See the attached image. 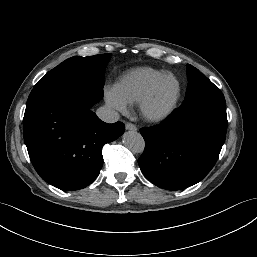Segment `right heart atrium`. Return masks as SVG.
Wrapping results in <instances>:
<instances>
[{"instance_id":"d8ad5b80","label":"right heart atrium","mask_w":257,"mask_h":257,"mask_svg":"<svg viewBox=\"0 0 257 257\" xmlns=\"http://www.w3.org/2000/svg\"><path fill=\"white\" fill-rule=\"evenodd\" d=\"M105 101L109 108L118 113H126L128 111L127 103L118 95L115 89H107L105 91Z\"/></svg>"}]
</instances>
